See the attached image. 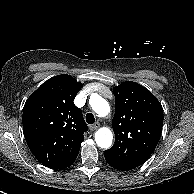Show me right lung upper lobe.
Wrapping results in <instances>:
<instances>
[{"label": "right lung upper lobe", "instance_id": "obj_1", "mask_svg": "<svg viewBox=\"0 0 194 194\" xmlns=\"http://www.w3.org/2000/svg\"><path fill=\"white\" fill-rule=\"evenodd\" d=\"M83 84L70 75L43 83L26 101L23 133L36 159L51 169L71 166L88 127L73 100Z\"/></svg>", "mask_w": 194, "mask_h": 194}]
</instances>
